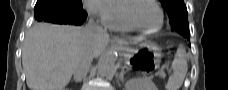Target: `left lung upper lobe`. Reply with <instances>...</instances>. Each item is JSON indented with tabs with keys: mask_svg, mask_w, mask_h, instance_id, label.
<instances>
[{
	"mask_svg": "<svg viewBox=\"0 0 228 90\" xmlns=\"http://www.w3.org/2000/svg\"><path fill=\"white\" fill-rule=\"evenodd\" d=\"M166 9L172 29L189 34L188 12L183 0H160Z\"/></svg>",
	"mask_w": 228,
	"mask_h": 90,
	"instance_id": "5c2ea615",
	"label": "left lung upper lobe"
}]
</instances>
